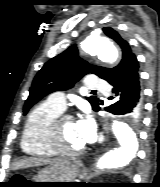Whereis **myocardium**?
Here are the masks:
<instances>
[{
    "label": "myocardium",
    "mask_w": 160,
    "mask_h": 187,
    "mask_svg": "<svg viewBox=\"0 0 160 187\" xmlns=\"http://www.w3.org/2000/svg\"><path fill=\"white\" fill-rule=\"evenodd\" d=\"M73 116L69 114H59L56 116L50 125L49 130V143L57 155L61 156H78L85 152L86 147H82L78 150L71 151L64 146L62 136V123L65 120H73Z\"/></svg>",
    "instance_id": "obj_1"
}]
</instances>
